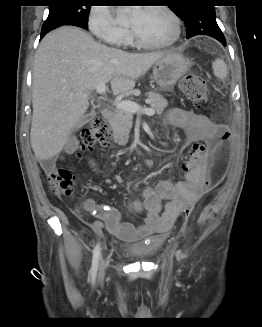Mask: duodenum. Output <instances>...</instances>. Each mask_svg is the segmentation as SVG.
Masks as SVG:
<instances>
[{
	"mask_svg": "<svg viewBox=\"0 0 262 327\" xmlns=\"http://www.w3.org/2000/svg\"><path fill=\"white\" fill-rule=\"evenodd\" d=\"M102 114H103V116H104L106 119H108V120H110V119L113 117V112H112V110L109 109V108H104V109L102 110Z\"/></svg>",
	"mask_w": 262,
	"mask_h": 327,
	"instance_id": "410a0bca",
	"label": "duodenum"
}]
</instances>
